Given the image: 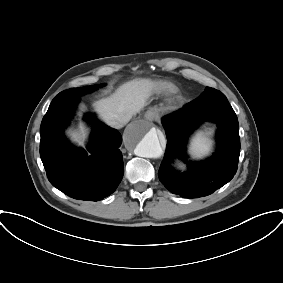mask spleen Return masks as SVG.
<instances>
[{
    "mask_svg": "<svg viewBox=\"0 0 283 283\" xmlns=\"http://www.w3.org/2000/svg\"><path fill=\"white\" fill-rule=\"evenodd\" d=\"M208 135L206 131H198L192 138L189 153L193 158H201L211 151L212 141Z\"/></svg>",
    "mask_w": 283,
    "mask_h": 283,
    "instance_id": "3e777b00",
    "label": "spleen"
}]
</instances>
